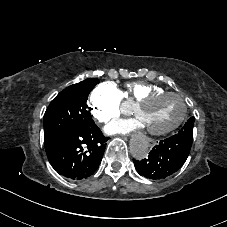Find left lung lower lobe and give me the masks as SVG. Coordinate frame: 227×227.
<instances>
[{"label":"left lung lower lobe","instance_id":"1","mask_svg":"<svg viewBox=\"0 0 227 227\" xmlns=\"http://www.w3.org/2000/svg\"><path fill=\"white\" fill-rule=\"evenodd\" d=\"M193 137L173 135L161 140L148 158L133 160L138 173L150 179H163L178 171L187 160Z\"/></svg>","mask_w":227,"mask_h":227}]
</instances>
